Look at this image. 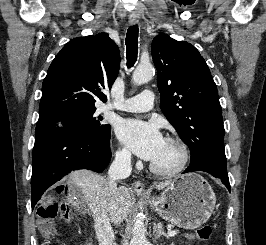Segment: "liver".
I'll return each mask as SVG.
<instances>
[{
	"mask_svg": "<svg viewBox=\"0 0 266 245\" xmlns=\"http://www.w3.org/2000/svg\"><path fill=\"white\" fill-rule=\"evenodd\" d=\"M68 179L72 181V185L76 187V191L83 195L84 201L90 211H93L94 207H96L94 203L98 201L99 191H102L103 187L107 185L108 179L97 175V173H92V171H86V169H83V171H73V173H70ZM170 183L171 181H165V183H157L153 187L157 191H161V189L168 187ZM109 203L112 205L111 211H109L111 223L121 225L130 213L131 197L128 189L126 187H118L114 199H111ZM73 205H78V203H73Z\"/></svg>",
	"mask_w": 266,
	"mask_h": 245,
	"instance_id": "obj_1",
	"label": "liver"
}]
</instances>
